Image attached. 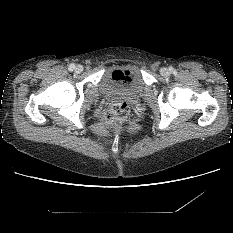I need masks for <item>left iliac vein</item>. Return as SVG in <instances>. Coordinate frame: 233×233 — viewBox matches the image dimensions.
<instances>
[{"label": "left iliac vein", "instance_id": "1", "mask_svg": "<svg viewBox=\"0 0 233 233\" xmlns=\"http://www.w3.org/2000/svg\"><path fill=\"white\" fill-rule=\"evenodd\" d=\"M160 73H161V75H163V76H167V75L169 74V71H168L167 68H162V69L160 70Z\"/></svg>", "mask_w": 233, "mask_h": 233}]
</instances>
